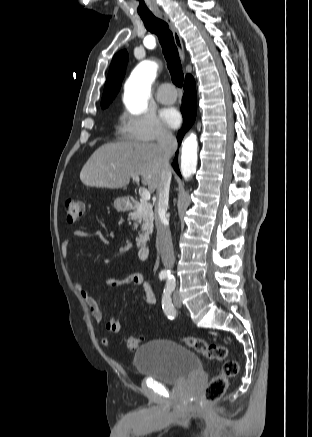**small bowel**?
I'll list each match as a JSON object with an SVG mask.
<instances>
[{
    "label": "small bowel",
    "instance_id": "1",
    "mask_svg": "<svg viewBox=\"0 0 312 437\" xmlns=\"http://www.w3.org/2000/svg\"><path fill=\"white\" fill-rule=\"evenodd\" d=\"M92 235H99L98 232H86L82 230H76L74 231L68 238H66L62 243V253L66 255L69 246L71 245L72 240L86 237V236H92ZM103 238V237H102ZM105 240V239H104ZM100 285L105 288H115L120 287L123 285H133L136 287H140L143 292L144 301L148 305H153L156 302V296L155 293L149 284L147 280L145 279L144 275L141 273H135L130 274L123 278H108L101 281ZM79 294L83 298L84 302L86 303L87 307L89 308V311L94 318V320L98 323L103 321V313L100 309V306L96 299L89 294L88 288L84 284H78L76 286ZM135 304V303H133ZM105 329L108 333L116 334L119 333L121 330V320L118 315L115 314L114 311L111 312L110 316L108 317L107 321L105 322ZM101 343L103 345H109V340L107 337L101 338Z\"/></svg>",
    "mask_w": 312,
    "mask_h": 437
}]
</instances>
